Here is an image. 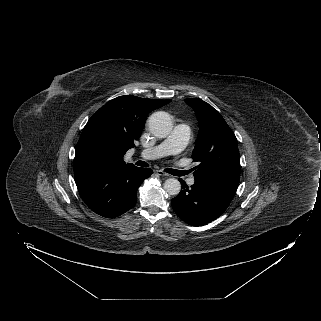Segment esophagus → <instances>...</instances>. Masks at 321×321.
I'll use <instances>...</instances> for the list:
<instances>
[{"instance_id": "34e87169", "label": "esophagus", "mask_w": 321, "mask_h": 321, "mask_svg": "<svg viewBox=\"0 0 321 321\" xmlns=\"http://www.w3.org/2000/svg\"><path fill=\"white\" fill-rule=\"evenodd\" d=\"M154 173L159 175V176H168L167 173H165L164 171L160 170V169H155Z\"/></svg>"}]
</instances>
